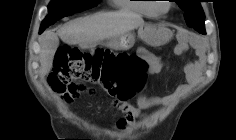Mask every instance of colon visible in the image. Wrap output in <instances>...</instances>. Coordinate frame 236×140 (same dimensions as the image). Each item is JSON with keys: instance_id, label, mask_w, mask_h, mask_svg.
Listing matches in <instances>:
<instances>
[{"instance_id": "obj_1", "label": "colon", "mask_w": 236, "mask_h": 140, "mask_svg": "<svg viewBox=\"0 0 236 140\" xmlns=\"http://www.w3.org/2000/svg\"><path fill=\"white\" fill-rule=\"evenodd\" d=\"M147 73L148 65L140 57L104 49L86 53L65 45L56 52L49 84L65 99L90 93L88 85L96 84L117 103L140 92Z\"/></svg>"}]
</instances>
